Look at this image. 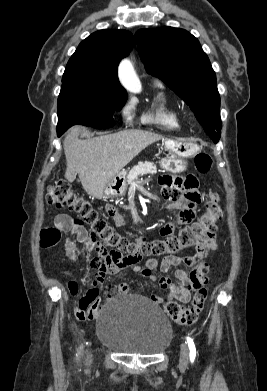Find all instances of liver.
<instances>
[{
	"mask_svg": "<svg viewBox=\"0 0 267 391\" xmlns=\"http://www.w3.org/2000/svg\"><path fill=\"white\" fill-rule=\"evenodd\" d=\"M83 128L72 127L64 141L65 178L73 182L78 174L84 190L92 197L102 198L107 183L142 150L162 139L144 130H123L87 140L78 138Z\"/></svg>",
	"mask_w": 267,
	"mask_h": 391,
	"instance_id": "1",
	"label": "liver"
}]
</instances>
